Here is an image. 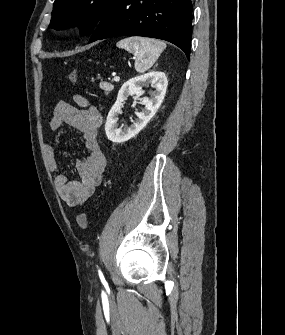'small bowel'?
Wrapping results in <instances>:
<instances>
[{"label":"small bowel","mask_w":285,"mask_h":335,"mask_svg":"<svg viewBox=\"0 0 285 335\" xmlns=\"http://www.w3.org/2000/svg\"><path fill=\"white\" fill-rule=\"evenodd\" d=\"M76 105L60 100L53 109L49 126L57 131L62 126H70L82 134L83 145L87 155L77 159V180H69L65 174L54 178L56 190L63 201L71 207L84 204L95 193L106 170V157L98 142V131L103 118L99 110L90 105L86 98L76 95ZM48 166L52 171H58L60 164L56 148L46 145Z\"/></svg>","instance_id":"c3829d8e"}]
</instances>
